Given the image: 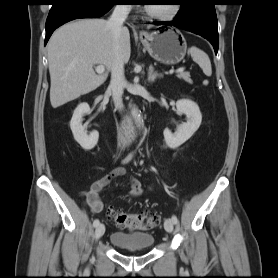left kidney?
Wrapping results in <instances>:
<instances>
[{
  "instance_id": "obj_1",
  "label": "left kidney",
  "mask_w": 278,
  "mask_h": 278,
  "mask_svg": "<svg viewBox=\"0 0 278 278\" xmlns=\"http://www.w3.org/2000/svg\"><path fill=\"white\" fill-rule=\"evenodd\" d=\"M177 111L187 117V122L181 124L173 134L168 128L163 132L167 146L176 149L186 142L198 130L201 125L202 115L198 105L188 99L178 100L176 102Z\"/></svg>"
}]
</instances>
